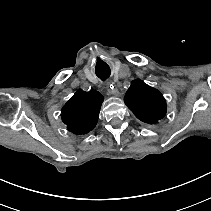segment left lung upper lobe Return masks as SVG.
Listing matches in <instances>:
<instances>
[{"label": "left lung upper lobe", "instance_id": "1", "mask_svg": "<svg viewBox=\"0 0 211 211\" xmlns=\"http://www.w3.org/2000/svg\"><path fill=\"white\" fill-rule=\"evenodd\" d=\"M124 102L139 120L148 124L157 123L167 112L161 92L139 79L131 82Z\"/></svg>", "mask_w": 211, "mask_h": 211}]
</instances>
